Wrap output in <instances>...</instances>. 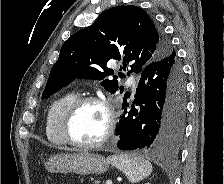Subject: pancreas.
Wrapping results in <instances>:
<instances>
[{
	"label": "pancreas",
	"mask_w": 224,
	"mask_h": 184,
	"mask_svg": "<svg viewBox=\"0 0 224 184\" xmlns=\"http://www.w3.org/2000/svg\"><path fill=\"white\" fill-rule=\"evenodd\" d=\"M93 184H99V182L98 181H94V183Z\"/></svg>",
	"instance_id": "1"
}]
</instances>
